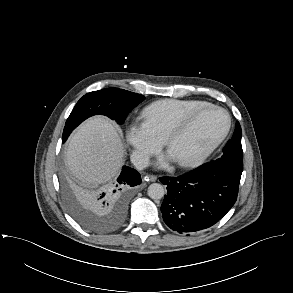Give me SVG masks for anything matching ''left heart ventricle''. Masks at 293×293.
Listing matches in <instances>:
<instances>
[{
    "instance_id": "obj_1",
    "label": "left heart ventricle",
    "mask_w": 293,
    "mask_h": 293,
    "mask_svg": "<svg viewBox=\"0 0 293 293\" xmlns=\"http://www.w3.org/2000/svg\"><path fill=\"white\" fill-rule=\"evenodd\" d=\"M226 126L224 113L207 110L196 118L191 127L169 148V155L175 161L186 159L205 148Z\"/></svg>"
}]
</instances>
